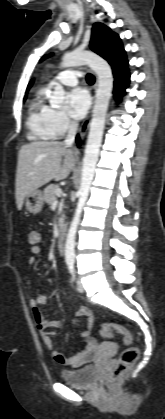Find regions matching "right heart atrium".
<instances>
[{"mask_svg":"<svg viewBox=\"0 0 165 419\" xmlns=\"http://www.w3.org/2000/svg\"><path fill=\"white\" fill-rule=\"evenodd\" d=\"M52 124L57 136H62L74 128V122L63 111L53 110Z\"/></svg>","mask_w":165,"mask_h":419,"instance_id":"right-heart-atrium-1","label":"right heart atrium"}]
</instances>
